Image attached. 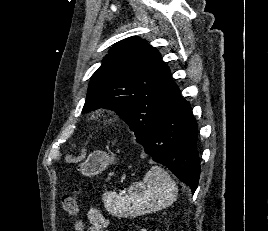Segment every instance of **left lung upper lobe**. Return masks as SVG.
<instances>
[{"instance_id":"left-lung-upper-lobe-1","label":"left lung upper lobe","mask_w":268,"mask_h":231,"mask_svg":"<svg viewBox=\"0 0 268 231\" xmlns=\"http://www.w3.org/2000/svg\"><path fill=\"white\" fill-rule=\"evenodd\" d=\"M180 93L159 52L143 39L127 38L114 44L92 75L83 111L116 110L138 139Z\"/></svg>"}]
</instances>
